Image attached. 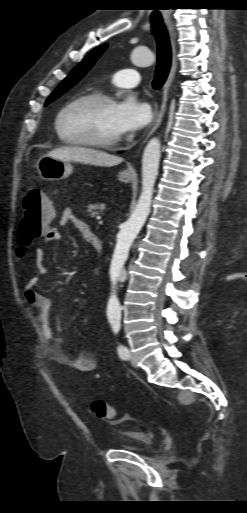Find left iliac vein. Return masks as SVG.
Wrapping results in <instances>:
<instances>
[{
    "instance_id": "obj_1",
    "label": "left iliac vein",
    "mask_w": 247,
    "mask_h": 513,
    "mask_svg": "<svg viewBox=\"0 0 247 513\" xmlns=\"http://www.w3.org/2000/svg\"><path fill=\"white\" fill-rule=\"evenodd\" d=\"M130 361L133 367H137V361L132 353H130Z\"/></svg>"
}]
</instances>
